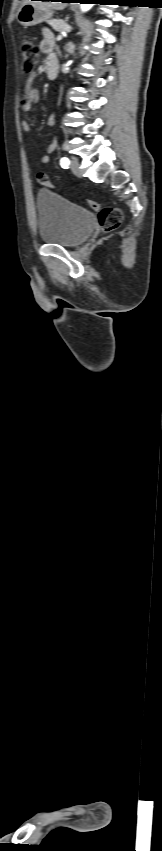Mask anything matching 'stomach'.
Instances as JSON below:
<instances>
[{"label": "stomach", "mask_w": 162, "mask_h": 851, "mask_svg": "<svg viewBox=\"0 0 162 851\" xmlns=\"http://www.w3.org/2000/svg\"><path fill=\"white\" fill-rule=\"evenodd\" d=\"M53 16L51 9L41 8L34 3L24 4L18 11L17 21L24 27H30L49 20Z\"/></svg>", "instance_id": "1"}]
</instances>
